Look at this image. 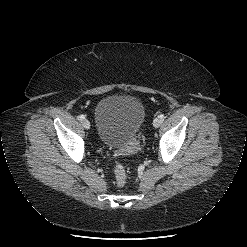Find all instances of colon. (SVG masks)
<instances>
[{"instance_id":"obj_1","label":"colon","mask_w":247,"mask_h":247,"mask_svg":"<svg viewBox=\"0 0 247 247\" xmlns=\"http://www.w3.org/2000/svg\"><path fill=\"white\" fill-rule=\"evenodd\" d=\"M115 180L118 186H124L127 179L126 169L122 163L116 162L114 166Z\"/></svg>"}]
</instances>
